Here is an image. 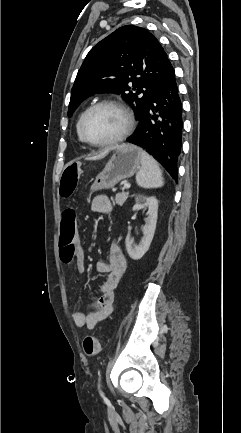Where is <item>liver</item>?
Listing matches in <instances>:
<instances>
[{"instance_id": "1", "label": "liver", "mask_w": 241, "mask_h": 433, "mask_svg": "<svg viewBox=\"0 0 241 433\" xmlns=\"http://www.w3.org/2000/svg\"><path fill=\"white\" fill-rule=\"evenodd\" d=\"M122 147V146H121ZM120 148V147H119ZM105 155V153H103V154H101V155H99V156H97V157H95V158H99V157H102V156H104Z\"/></svg>"}]
</instances>
